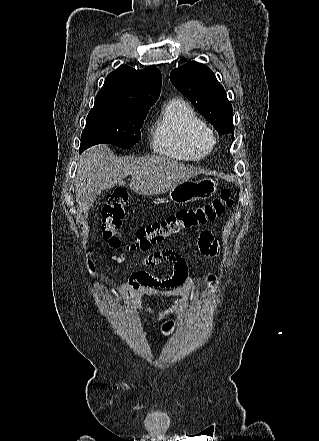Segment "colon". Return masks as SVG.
Segmentation results:
<instances>
[{
    "label": "colon",
    "mask_w": 319,
    "mask_h": 441,
    "mask_svg": "<svg viewBox=\"0 0 319 441\" xmlns=\"http://www.w3.org/2000/svg\"><path fill=\"white\" fill-rule=\"evenodd\" d=\"M128 201L124 189L113 191L102 209V233L104 241L114 249L147 250L167 238L202 226L221 216L232 207L234 201L230 190H222L220 195L203 204L180 209L162 221L138 228L131 237L130 243L123 244L120 227L125 219V206ZM206 231H203L202 234ZM173 323L163 325L162 330L169 333Z\"/></svg>",
    "instance_id": "1"
}]
</instances>
